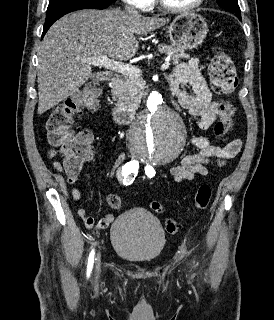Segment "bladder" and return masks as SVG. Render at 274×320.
I'll return each instance as SVG.
<instances>
[{
    "label": "bladder",
    "instance_id": "1",
    "mask_svg": "<svg viewBox=\"0 0 274 320\" xmlns=\"http://www.w3.org/2000/svg\"><path fill=\"white\" fill-rule=\"evenodd\" d=\"M111 242L117 255L135 263L158 259L166 245L159 220L141 208L121 213L111 225Z\"/></svg>",
    "mask_w": 274,
    "mask_h": 320
}]
</instances>
